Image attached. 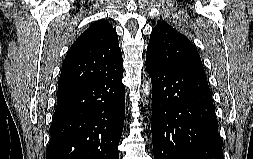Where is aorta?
<instances>
[{"label":"aorta","instance_id":"762f6f07","mask_svg":"<svg viewBox=\"0 0 253 159\" xmlns=\"http://www.w3.org/2000/svg\"><path fill=\"white\" fill-rule=\"evenodd\" d=\"M150 90H151V81L150 79H148V81H145L143 84V93L145 97L149 96Z\"/></svg>","mask_w":253,"mask_h":159}]
</instances>
